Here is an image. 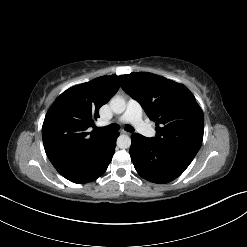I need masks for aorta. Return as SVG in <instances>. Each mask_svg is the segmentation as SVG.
Returning <instances> with one entry per match:
<instances>
[{"label":"aorta","mask_w":247,"mask_h":247,"mask_svg":"<svg viewBox=\"0 0 247 247\" xmlns=\"http://www.w3.org/2000/svg\"><path fill=\"white\" fill-rule=\"evenodd\" d=\"M111 110L116 114H121L126 109V102L120 96H114L110 100ZM117 146L121 149H128L131 146V138L128 135H120L117 139Z\"/></svg>","instance_id":"aorta-1"}]
</instances>
